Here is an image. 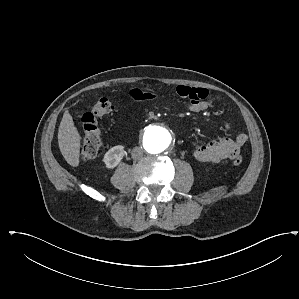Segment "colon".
Returning a JSON list of instances; mask_svg holds the SVG:
<instances>
[{
	"mask_svg": "<svg viewBox=\"0 0 299 299\" xmlns=\"http://www.w3.org/2000/svg\"><path fill=\"white\" fill-rule=\"evenodd\" d=\"M113 110L114 105L110 99L100 98L94 103L89 112L82 115L81 122L84 137L81 158L83 161H90L98 156L102 147V137L97 119L111 113ZM242 161L243 158L240 155H236L232 159L234 165H240Z\"/></svg>",
	"mask_w": 299,
	"mask_h": 299,
	"instance_id": "colon-1",
	"label": "colon"
}]
</instances>
